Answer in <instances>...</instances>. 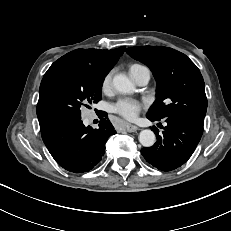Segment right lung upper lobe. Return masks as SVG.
I'll return each mask as SVG.
<instances>
[{"label":"right lung upper lobe","mask_w":231,"mask_h":231,"mask_svg":"<svg viewBox=\"0 0 231 231\" xmlns=\"http://www.w3.org/2000/svg\"><path fill=\"white\" fill-rule=\"evenodd\" d=\"M124 49L125 47H120L118 49H113V50L77 49L67 53L66 55L59 58L56 62H54L51 65V67L48 69L46 74L44 75V78L40 86L39 101L36 109L37 117L40 124V131L44 132L47 129L57 124V122H55L51 118L48 111L46 110L42 97L44 81L48 73H50L57 66L61 65L64 62L76 61V62L86 63L92 68L108 74L109 71L113 68V66L118 61L119 57L123 54Z\"/></svg>","instance_id":"obj_1"}]
</instances>
